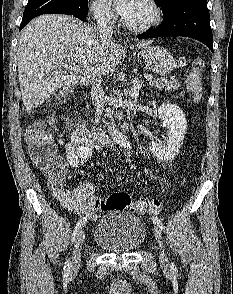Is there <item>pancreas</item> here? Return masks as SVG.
Returning a JSON list of instances; mask_svg holds the SVG:
<instances>
[{
	"mask_svg": "<svg viewBox=\"0 0 233 294\" xmlns=\"http://www.w3.org/2000/svg\"><path fill=\"white\" fill-rule=\"evenodd\" d=\"M150 85L152 87H156L158 89H165L167 91H172L180 88V83L177 79H165V78H158L156 80H151Z\"/></svg>",
	"mask_w": 233,
	"mask_h": 294,
	"instance_id": "obj_1",
	"label": "pancreas"
}]
</instances>
